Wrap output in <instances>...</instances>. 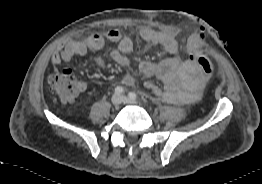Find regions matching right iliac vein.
I'll return each mask as SVG.
<instances>
[{
    "mask_svg": "<svg viewBox=\"0 0 262 184\" xmlns=\"http://www.w3.org/2000/svg\"><path fill=\"white\" fill-rule=\"evenodd\" d=\"M122 102V97L119 94H114L111 98V103L114 106H119Z\"/></svg>",
    "mask_w": 262,
    "mask_h": 184,
    "instance_id": "obj_1",
    "label": "right iliac vein"
}]
</instances>
